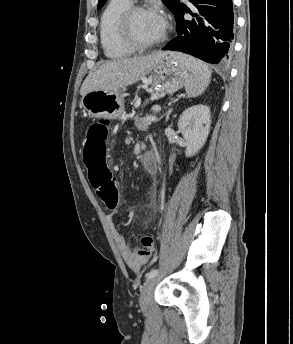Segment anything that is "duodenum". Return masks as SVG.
<instances>
[{
	"instance_id": "1",
	"label": "duodenum",
	"mask_w": 293,
	"mask_h": 344,
	"mask_svg": "<svg viewBox=\"0 0 293 344\" xmlns=\"http://www.w3.org/2000/svg\"><path fill=\"white\" fill-rule=\"evenodd\" d=\"M140 163L146 168H150L152 165L156 164L154 157L150 152H146L141 156Z\"/></svg>"
}]
</instances>
